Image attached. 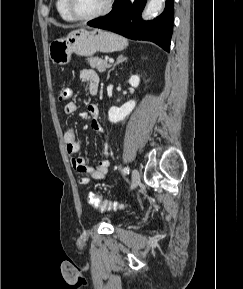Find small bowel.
Listing matches in <instances>:
<instances>
[{
    "label": "small bowel",
    "instance_id": "1",
    "mask_svg": "<svg viewBox=\"0 0 243 289\" xmlns=\"http://www.w3.org/2000/svg\"><path fill=\"white\" fill-rule=\"evenodd\" d=\"M80 82L82 85H87L91 95H95L99 87V78L94 70L86 69L80 74ZM78 109L76 102H70L64 107V112L67 115H73ZM88 113L91 116V128L95 132L103 136L104 157L97 162V164L90 166L86 164L85 158L82 156H74L71 158V166L76 170L80 176L78 183L82 186L89 184L90 179L102 180L108 171L110 162L108 159V144L105 137V132L102 125L99 123V108L96 104H90L88 106ZM64 143L66 152L69 155H75L78 153L80 146L76 138V132L70 128L64 133Z\"/></svg>",
    "mask_w": 243,
    "mask_h": 289
}]
</instances>
